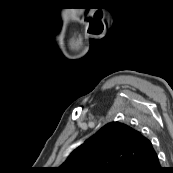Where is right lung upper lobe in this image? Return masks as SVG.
<instances>
[{"label":"right lung upper lobe","mask_w":173,"mask_h":173,"mask_svg":"<svg viewBox=\"0 0 173 173\" xmlns=\"http://www.w3.org/2000/svg\"><path fill=\"white\" fill-rule=\"evenodd\" d=\"M155 150L140 132L112 122L76 148L56 173H123Z\"/></svg>","instance_id":"cb5924a9"}]
</instances>
